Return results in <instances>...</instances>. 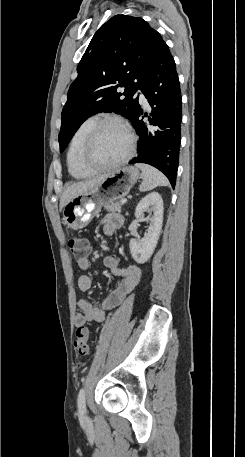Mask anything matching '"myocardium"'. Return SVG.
I'll use <instances>...</instances> for the list:
<instances>
[{"label": "myocardium", "mask_w": 245, "mask_h": 457, "mask_svg": "<svg viewBox=\"0 0 245 457\" xmlns=\"http://www.w3.org/2000/svg\"><path fill=\"white\" fill-rule=\"evenodd\" d=\"M116 128L122 131L129 139V144L125 152L113 160L111 163L102 166V167H94L90 165L86 160V153L88 149L95 143L96 139L98 138L99 134L106 128ZM136 145V137L134 132L123 122L116 120V119H103L97 121L95 125L90 129L83 146L81 147L78 153V162L80 166L87 171L89 174H96L103 171H109L119 167L120 165L127 162L130 157L132 156Z\"/></svg>", "instance_id": "obj_1"}]
</instances>
